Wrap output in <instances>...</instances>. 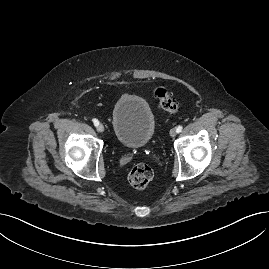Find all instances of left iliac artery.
Returning <instances> with one entry per match:
<instances>
[{
    "label": "left iliac artery",
    "instance_id": "obj_1",
    "mask_svg": "<svg viewBox=\"0 0 269 269\" xmlns=\"http://www.w3.org/2000/svg\"><path fill=\"white\" fill-rule=\"evenodd\" d=\"M182 128H183V127L179 125V126L176 128L177 133L181 132V131H182Z\"/></svg>",
    "mask_w": 269,
    "mask_h": 269
}]
</instances>
